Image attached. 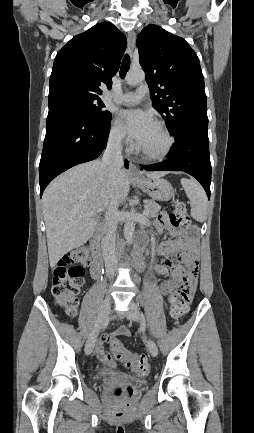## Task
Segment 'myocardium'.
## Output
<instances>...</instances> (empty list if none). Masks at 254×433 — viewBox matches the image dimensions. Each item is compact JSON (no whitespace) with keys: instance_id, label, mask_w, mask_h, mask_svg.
Returning <instances> with one entry per match:
<instances>
[{"instance_id":"f54148a6","label":"myocardium","mask_w":254,"mask_h":433,"mask_svg":"<svg viewBox=\"0 0 254 433\" xmlns=\"http://www.w3.org/2000/svg\"><path fill=\"white\" fill-rule=\"evenodd\" d=\"M155 125L160 129V131L163 133V135L166 138V145L163 148V150L158 152V153H151V152L143 149L141 146H139L138 150L140 151V153L142 154V156L145 159L158 161V160L164 159L165 157H167L170 154V152L172 151V149L174 147L175 140L163 122L156 121Z\"/></svg>"}]
</instances>
